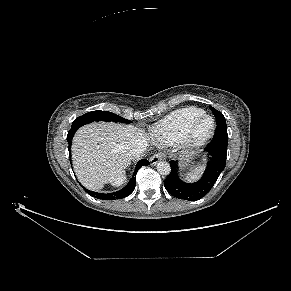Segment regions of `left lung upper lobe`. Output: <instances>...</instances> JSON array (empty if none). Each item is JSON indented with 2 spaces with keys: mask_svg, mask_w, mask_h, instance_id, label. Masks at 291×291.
Segmentation results:
<instances>
[{
  "mask_svg": "<svg viewBox=\"0 0 291 291\" xmlns=\"http://www.w3.org/2000/svg\"><path fill=\"white\" fill-rule=\"evenodd\" d=\"M211 110L213 112V114L215 115L216 118V122H217V129L218 128H222V129H227L226 127V121H225V117L223 116V114L221 112H219L218 110H216L215 108L211 107Z\"/></svg>",
  "mask_w": 291,
  "mask_h": 291,
  "instance_id": "5c2ea615",
  "label": "left lung upper lobe"
}]
</instances>
